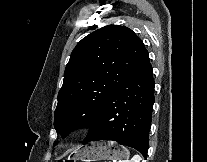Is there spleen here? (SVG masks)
I'll return each mask as SVG.
<instances>
[{
  "mask_svg": "<svg viewBox=\"0 0 207 162\" xmlns=\"http://www.w3.org/2000/svg\"><path fill=\"white\" fill-rule=\"evenodd\" d=\"M141 157L139 155H134L131 160H125L123 162H140Z\"/></svg>",
  "mask_w": 207,
  "mask_h": 162,
  "instance_id": "3e777b00",
  "label": "spleen"
}]
</instances>
